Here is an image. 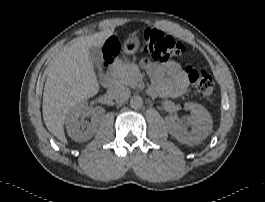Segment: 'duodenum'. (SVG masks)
I'll return each instance as SVG.
<instances>
[{"mask_svg":"<svg viewBox=\"0 0 265 202\" xmlns=\"http://www.w3.org/2000/svg\"><path fill=\"white\" fill-rule=\"evenodd\" d=\"M115 82V73L113 70L109 71L101 80V83L104 87H110Z\"/></svg>","mask_w":265,"mask_h":202,"instance_id":"obj_1","label":"duodenum"}]
</instances>
